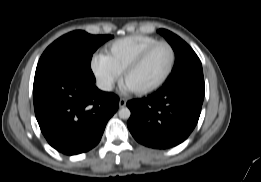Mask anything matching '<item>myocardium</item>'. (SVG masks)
Here are the masks:
<instances>
[{
  "label": "myocardium",
  "mask_w": 261,
  "mask_h": 182,
  "mask_svg": "<svg viewBox=\"0 0 261 182\" xmlns=\"http://www.w3.org/2000/svg\"><path fill=\"white\" fill-rule=\"evenodd\" d=\"M161 46H166L171 51V61H170L167 71L161 77V79L159 81H157L155 84H153L149 87H146L144 89L131 90L134 94L146 95V94L156 91L157 89H159L166 83V81L169 79L170 75L172 74V71H173L175 63H176V51L170 43L165 42V41H159L158 43L150 46L145 51H143L132 63H130L125 68V70L123 71V75H122L123 83L126 84L128 76L131 73H133L135 70H137L146 61V59L150 56V54L154 50H156L158 47H161Z\"/></svg>",
  "instance_id": "obj_1"
}]
</instances>
